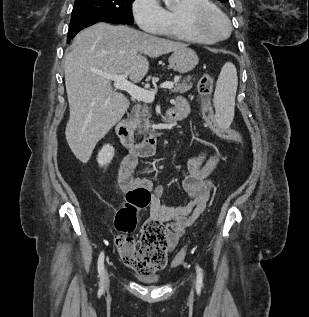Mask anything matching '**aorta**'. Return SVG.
<instances>
[{
    "label": "aorta",
    "mask_w": 309,
    "mask_h": 317,
    "mask_svg": "<svg viewBox=\"0 0 309 317\" xmlns=\"http://www.w3.org/2000/svg\"><path fill=\"white\" fill-rule=\"evenodd\" d=\"M166 6H170L174 0H163Z\"/></svg>",
    "instance_id": "762f6f07"
}]
</instances>
